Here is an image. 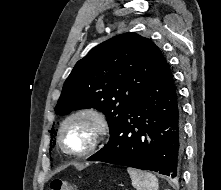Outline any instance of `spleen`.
<instances>
[{
	"label": "spleen",
	"instance_id": "3e777b00",
	"mask_svg": "<svg viewBox=\"0 0 221 190\" xmlns=\"http://www.w3.org/2000/svg\"><path fill=\"white\" fill-rule=\"evenodd\" d=\"M127 172L130 175L132 186L136 190H158V179L152 173L131 167L127 168Z\"/></svg>",
	"mask_w": 221,
	"mask_h": 190
}]
</instances>
